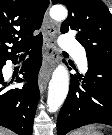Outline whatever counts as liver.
<instances>
[{
  "instance_id": "obj_1",
  "label": "liver",
  "mask_w": 112,
  "mask_h": 135,
  "mask_svg": "<svg viewBox=\"0 0 112 135\" xmlns=\"http://www.w3.org/2000/svg\"><path fill=\"white\" fill-rule=\"evenodd\" d=\"M0 135H13V133L5 128L0 127Z\"/></svg>"
}]
</instances>
